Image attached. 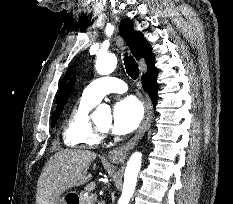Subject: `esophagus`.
Masks as SVG:
<instances>
[{
	"label": "esophagus",
	"instance_id": "1",
	"mask_svg": "<svg viewBox=\"0 0 233 204\" xmlns=\"http://www.w3.org/2000/svg\"><path fill=\"white\" fill-rule=\"evenodd\" d=\"M144 106H145V114L138 131L136 132L134 137L131 140H129L127 143L109 152V158L112 161L115 162L123 161L126 158L129 151L134 148V146L140 141V139L143 137L147 129L150 127L153 113H152L151 101L147 95L144 100Z\"/></svg>",
	"mask_w": 233,
	"mask_h": 204
}]
</instances>
